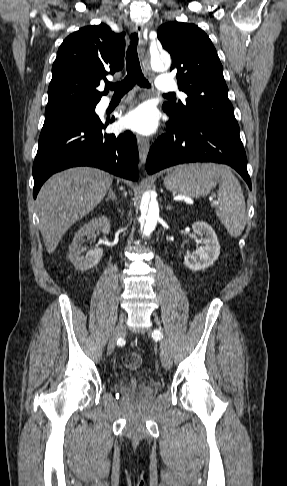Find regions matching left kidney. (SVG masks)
I'll use <instances>...</instances> for the list:
<instances>
[{
  "instance_id": "1",
  "label": "left kidney",
  "mask_w": 287,
  "mask_h": 486,
  "mask_svg": "<svg viewBox=\"0 0 287 486\" xmlns=\"http://www.w3.org/2000/svg\"><path fill=\"white\" fill-rule=\"evenodd\" d=\"M194 233L204 236V246L196 252L187 254L184 257V264L193 271L204 270L218 259L220 244L213 228L204 221H196L192 225Z\"/></svg>"
}]
</instances>
